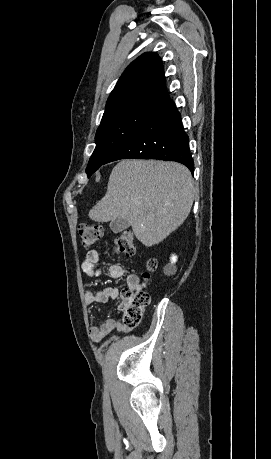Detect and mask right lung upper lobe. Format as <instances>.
I'll list each match as a JSON object with an SVG mask.
<instances>
[{
	"label": "right lung upper lobe",
	"instance_id": "obj_1",
	"mask_svg": "<svg viewBox=\"0 0 271 459\" xmlns=\"http://www.w3.org/2000/svg\"><path fill=\"white\" fill-rule=\"evenodd\" d=\"M173 104L165 87L164 69L155 53H144L133 61L111 92L103 116L141 109L160 113Z\"/></svg>",
	"mask_w": 271,
	"mask_h": 459
}]
</instances>
